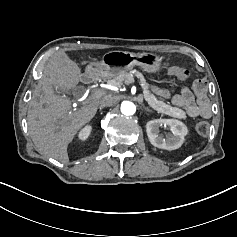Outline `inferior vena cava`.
I'll use <instances>...</instances> for the list:
<instances>
[{
    "label": "inferior vena cava",
    "mask_w": 237,
    "mask_h": 237,
    "mask_svg": "<svg viewBox=\"0 0 237 237\" xmlns=\"http://www.w3.org/2000/svg\"><path fill=\"white\" fill-rule=\"evenodd\" d=\"M116 98L113 96H106L101 101V107L112 106L116 104Z\"/></svg>",
    "instance_id": "inferior-vena-cava-1"
}]
</instances>
